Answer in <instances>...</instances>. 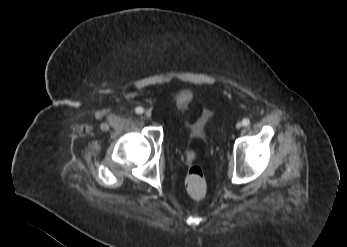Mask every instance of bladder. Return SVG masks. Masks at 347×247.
Here are the masks:
<instances>
[{"instance_id": "1", "label": "bladder", "mask_w": 347, "mask_h": 247, "mask_svg": "<svg viewBox=\"0 0 347 247\" xmlns=\"http://www.w3.org/2000/svg\"><path fill=\"white\" fill-rule=\"evenodd\" d=\"M177 106L180 112H185L188 109V100L184 95H179L177 99Z\"/></svg>"}]
</instances>
